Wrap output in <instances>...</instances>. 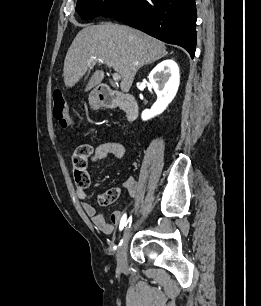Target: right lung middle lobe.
Listing matches in <instances>:
<instances>
[{
  "label": "right lung middle lobe",
  "mask_w": 261,
  "mask_h": 306,
  "mask_svg": "<svg viewBox=\"0 0 261 306\" xmlns=\"http://www.w3.org/2000/svg\"><path fill=\"white\" fill-rule=\"evenodd\" d=\"M125 0H77L75 10L85 20L101 16Z\"/></svg>",
  "instance_id": "right-lung-middle-lobe-1"
}]
</instances>
